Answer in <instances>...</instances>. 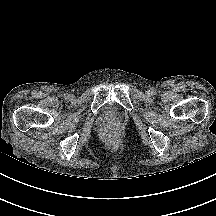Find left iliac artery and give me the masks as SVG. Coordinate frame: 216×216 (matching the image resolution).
Instances as JSON below:
<instances>
[{
	"mask_svg": "<svg viewBox=\"0 0 216 216\" xmlns=\"http://www.w3.org/2000/svg\"><path fill=\"white\" fill-rule=\"evenodd\" d=\"M151 94H153V95L156 94V90L154 88H152Z\"/></svg>",
	"mask_w": 216,
	"mask_h": 216,
	"instance_id": "1",
	"label": "left iliac artery"
}]
</instances>
